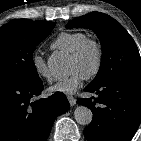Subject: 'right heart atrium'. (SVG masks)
<instances>
[{
    "mask_svg": "<svg viewBox=\"0 0 141 141\" xmlns=\"http://www.w3.org/2000/svg\"><path fill=\"white\" fill-rule=\"evenodd\" d=\"M31 61H32V66L39 77L44 78L46 80L51 79V74L47 62L41 54L35 53L32 56Z\"/></svg>",
    "mask_w": 141,
    "mask_h": 141,
    "instance_id": "obj_1",
    "label": "right heart atrium"
}]
</instances>
